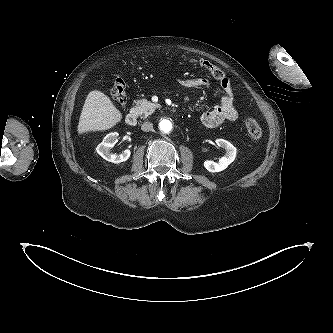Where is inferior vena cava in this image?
I'll return each mask as SVG.
<instances>
[{
    "label": "inferior vena cava",
    "mask_w": 333,
    "mask_h": 333,
    "mask_svg": "<svg viewBox=\"0 0 333 333\" xmlns=\"http://www.w3.org/2000/svg\"><path fill=\"white\" fill-rule=\"evenodd\" d=\"M141 129L145 132H149L153 129V124L151 122H145L142 124Z\"/></svg>",
    "instance_id": "602c4592"
}]
</instances>
